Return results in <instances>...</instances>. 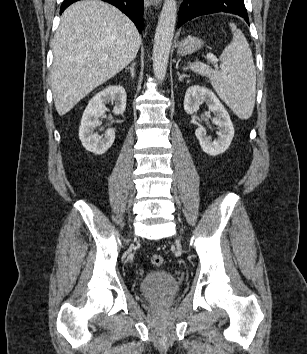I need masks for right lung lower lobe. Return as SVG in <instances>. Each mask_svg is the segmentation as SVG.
I'll list each match as a JSON object with an SVG mask.
<instances>
[{
	"label": "right lung lower lobe",
	"mask_w": 307,
	"mask_h": 354,
	"mask_svg": "<svg viewBox=\"0 0 307 354\" xmlns=\"http://www.w3.org/2000/svg\"><path fill=\"white\" fill-rule=\"evenodd\" d=\"M79 0H64L60 13H62L70 4ZM106 1L122 12H124L137 26L139 32L142 31L143 27V13H144V3L143 0H103Z\"/></svg>",
	"instance_id": "98d812e1"
}]
</instances>
